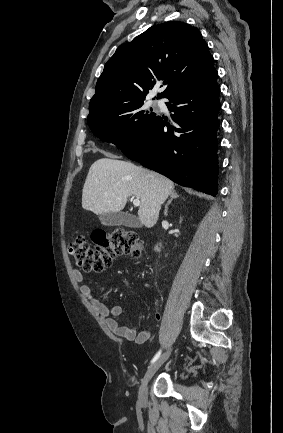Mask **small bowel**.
Returning <instances> with one entry per match:
<instances>
[{
    "label": "small bowel",
    "instance_id": "1",
    "mask_svg": "<svg viewBox=\"0 0 283 433\" xmlns=\"http://www.w3.org/2000/svg\"><path fill=\"white\" fill-rule=\"evenodd\" d=\"M74 278L80 283L85 280V275L80 270H75ZM80 291L81 294L90 301L93 307L97 310L98 314L105 319L107 327L114 334L124 337L129 341H134L137 344H143L152 337V332L149 329L138 331L135 326L122 325L117 320V318H119L123 313L122 307L120 305L108 307L101 303L99 300L94 298L93 291L89 285H82Z\"/></svg>",
    "mask_w": 283,
    "mask_h": 433
}]
</instances>
